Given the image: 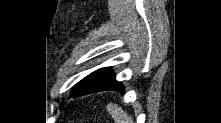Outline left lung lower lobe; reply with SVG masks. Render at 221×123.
Segmentation results:
<instances>
[{"instance_id": "obj_1", "label": "left lung lower lobe", "mask_w": 221, "mask_h": 123, "mask_svg": "<svg viewBox=\"0 0 221 123\" xmlns=\"http://www.w3.org/2000/svg\"><path fill=\"white\" fill-rule=\"evenodd\" d=\"M105 90H117L124 92V86L115 80V75L109 68H104L89 81H87L82 87L74 91L72 96L78 97L80 95H86L95 92H101Z\"/></svg>"}]
</instances>
